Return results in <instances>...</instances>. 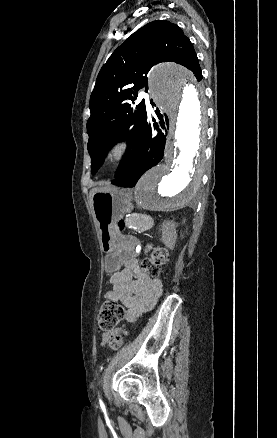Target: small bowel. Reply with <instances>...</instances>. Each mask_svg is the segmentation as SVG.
<instances>
[{
    "label": "small bowel",
    "instance_id": "1",
    "mask_svg": "<svg viewBox=\"0 0 277 438\" xmlns=\"http://www.w3.org/2000/svg\"><path fill=\"white\" fill-rule=\"evenodd\" d=\"M137 248L129 245L123 267L110 278L112 289L106 297L113 301H120L125 307V320L133 322L142 313L152 309L161 294V281L149 276L140 268L137 258ZM119 334L113 330L103 336L102 343Z\"/></svg>",
    "mask_w": 277,
    "mask_h": 438
}]
</instances>
